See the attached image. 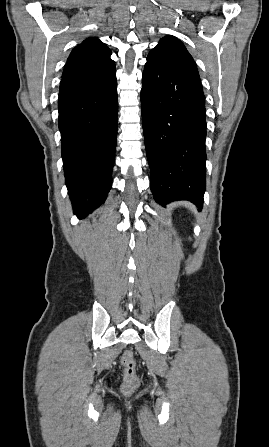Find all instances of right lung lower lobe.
Instances as JSON below:
<instances>
[{
  "instance_id": "right-lung-lower-lobe-1",
  "label": "right lung lower lobe",
  "mask_w": 269,
  "mask_h": 447,
  "mask_svg": "<svg viewBox=\"0 0 269 447\" xmlns=\"http://www.w3.org/2000/svg\"><path fill=\"white\" fill-rule=\"evenodd\" d=\"M59 129L65 183L74 213L104 203L112 184L118 99L115 64L62 78Z\"/></svg>"
}]
</instances>
